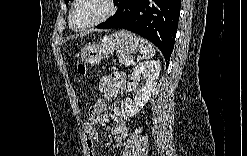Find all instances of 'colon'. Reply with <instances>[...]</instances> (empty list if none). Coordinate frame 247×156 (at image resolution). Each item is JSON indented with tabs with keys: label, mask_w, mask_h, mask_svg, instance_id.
Returning a JSON list of instances; mask_svg holds the SVG:
<instances>
[{
	"label": "colon",
	"mask_w": 247,
	"mask_h": 156,
	"mask_svg": "<svg viewBox=\"0 0 247 156\" xmlns=\"http://www.w3.org/2000/svg\"><path fill=\"white\" fill-rule=\"evenodd\" d=\"M77 71L80 76L83 77L87 76V68L83 63H79L77 65ZM104 103H105V98H96V101H94L91 110L87 111L88 124H95L96 121H99V118L102 117V114L100 113V109H102ZM91 130H96V125H91Z\"/></svg>",
	"instance_id": "obj_1"
}]
</instances>
